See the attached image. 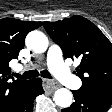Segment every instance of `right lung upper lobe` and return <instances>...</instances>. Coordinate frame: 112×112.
Wrapping results in <instances>:
<instances>
[{"mask_svg": "<svg viewBox=\"0 0 112 112\" xmlns=\"http://www.w3.org/2000/svg\"><path fill=\"white\" fill-rule=\"evenodd\" d=\"M41 24L13 18L0 20V112H8L11 109L30 81L11 78L9 62L18 58L26 35Z\"/></svg>", "mask_w": 112, "mask_h": 112, "instance_id": "cb5924a9", "label": "right lung upper lobe"}]
</instances>
